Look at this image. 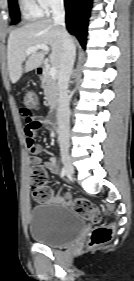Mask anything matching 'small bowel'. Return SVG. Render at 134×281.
<instances>
[{
    "mask_svg": "<svg viewBox=\"0 0 134 281\" xmlns=\"http://www.w3.org/2000/svg\"><path fill=\"white\" fill-rule=\"evenodd\" d=\"M20 114L25 124V141L27 149L30 153V165L32 168L36 166H44L53 175H57L59 173V165L56 156L53 153L48 152L47 159L42 160V158L39 156V153L42 151V147L35 143V137L38 129L42 126H48V123L43 118L33 114L31 108L26 106L21 108ZM50 132L52 135L55 134V131L52 127H50Z\"/></svg>",
    "mask_w": 134,
    "mask_h": 281,
    "instance_id": "obj_1",
    "label": "small bowel"
}]
</instances>
